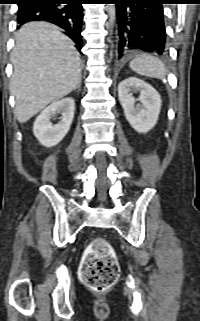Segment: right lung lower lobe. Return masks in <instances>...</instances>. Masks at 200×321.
Returning <instances> with one entry per match:
<instances>
[{
    "label": "right lung lower lobe",
    "mask_w": 200,
    "mask_h": 321,
    "mask_svg": "<svg viewBox=\"0 0 200 321\" xmlns=\"http://www.w3.org/2000/svg\"><path fill=\"white\" fill-rule=\"evenodd\" d=\"M84 0H21L18 3L19 26L30 21H47L66 31V34L82 48V3Z\"/></svg>",
    "instance_id": "1"
}]
</instances>
